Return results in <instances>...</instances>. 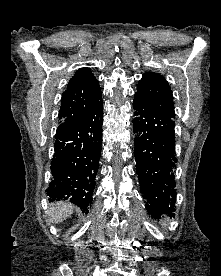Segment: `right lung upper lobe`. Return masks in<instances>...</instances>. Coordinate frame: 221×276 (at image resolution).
Returning <instances> with one entry per match:
<instances>
[{
	"label": "right lung upper lobe",
	"instance_id": "1",
	"mask_svg": "<svg viewBox=\"0 0 221 276\" xmlns=\"http://www.w3.org/2000/svg\"><path fill=\"white\" fill-rule=\"evenodd\" d=\"M102 102L98 80L89 68H81L70 79L62 95L58 114L60 123L89 115Z\"/></svg>",
	"mask_w": 221,
	"mask_h": 276
}]
</instances>
